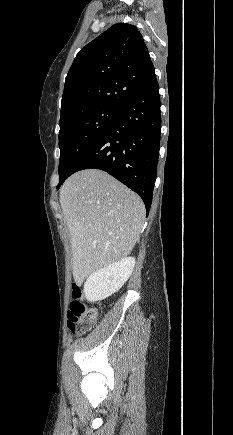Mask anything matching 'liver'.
<instances>
[{"mask_svg": "<svg viewBox=\"0 0 233 435\" xmlns=\"http://www.w3.org/2000/svg\"><path fill=\"white\" fill-rule=\"evenodd\" d=\"M59 201L71 236L76 282L130 254L145 215L135 192L102 170L88 169L65 181Z\"/></svg>", "mask_w": 233, "mask_h": 435, "instance_id": "6515ba94", "label": "liver"}]
</instances>
